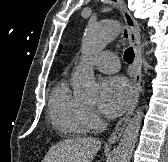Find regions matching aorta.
Instances as JSON below:
<instances>
[{
  "mask_svg": "<svg viewBox=\"0 0 168 162\" xmlns=\"http://www.w3.org/2000/svg\"><path fill=\"white\" fill-rule=\"evenodd\" d=\"M120 33V24L115 20L89 22L82 41V54L86 60L101 52ZM76 95L81 100H94L98 95V84L92 67L85 61L78 66L72 75ZM142 108L130 119L117 147L114 162H130L138 138Z\"/></svg>",
  "mask_w": 168,
  "mask_h": 162,
  "instance_id": "1",
  "label": "aorta"
}]
</instances>
